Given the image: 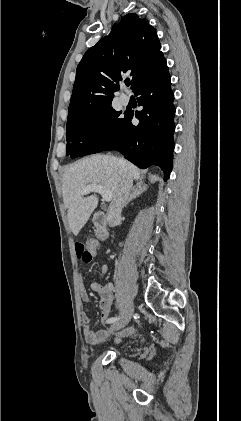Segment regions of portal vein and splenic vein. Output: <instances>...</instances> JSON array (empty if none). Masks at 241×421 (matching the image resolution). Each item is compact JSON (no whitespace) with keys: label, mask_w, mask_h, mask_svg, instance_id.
Wrapping results in <instances>:
<instances>
[{"label":"portal vein and splenic vein","mask_w":241,"mask_h":421,"mask_svg":"<svg viewBox=\"0 0 241 421\" xmlns=\"http://www.w3.org/2000/svg\"><path fill=\"white\" fill-rule=\"evenodd\" d=\"M90 192H97V193L101 194V196L103 197V200L106 201V202H110L112 200V197H113V194L110 190H108L104 186L98 185V184L88 185L87 187H85L80 192V194L86 195V194H89Z\"/></svg>","instance_id":"18ae733b"}]
</instances>
